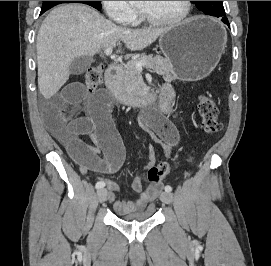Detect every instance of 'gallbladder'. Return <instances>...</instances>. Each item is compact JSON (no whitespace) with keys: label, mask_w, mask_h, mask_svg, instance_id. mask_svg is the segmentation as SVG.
<instances>
[{"label":"gallbladder","mask_w":271,"mask_h":266,"mask_svg":"<svg viewBox=\"0 0 271 266\" xmlns=\"http://www.w3.org/2000/svg\"><path fill=\"white\" fill-rule=\"evenodd\" d=\"M93 62L92 57L89 56H81L76 58L70 65V73L74 75L83 74L88 68L91 66Z\"/></svg>","instance_id":"obj_1"}]
</instances>
